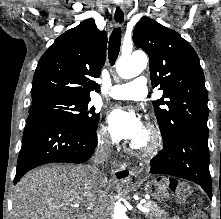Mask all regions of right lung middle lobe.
Segmentation results:
<instances>
[{"mask_svg":"<svg viewBox=\"0 0 221 219\" xmlns=\"http://www.w3.org/2000/svg\"><path fill=\"white\" fill-rule=\"evenodd\" d=\"M89 102L90 99L47 98L32 102L29 114L54 116L76 127L96 131L100 115Z\"/></svg>","mask_w":221,"mask_h":219,"instance_id":"obj_1","label":"right lung middle lobe"}]
</instances>
